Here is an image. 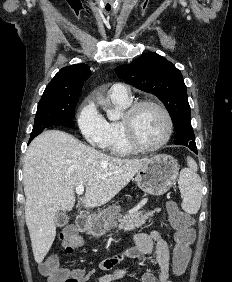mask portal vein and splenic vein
Listing matches in <instances>:
<instances>
[{
    "label": "portal vein and splenic vein",
    "mask_w": 232,
    "mask_h": 282,
    "mask_svg": "<svg viewBox=\"0 0 232 282\" xmlns=\"http://www.w3.org/2000/svg\"><path fill=\"white\" fill-rule=\"evenodd\" d=\"M75 191H76V194H77V195H82L83 192H84V185H83V184H80V185L76 186Z\"/></svg>",
    "instance_id": "18ae733b"
}]
</instances>
